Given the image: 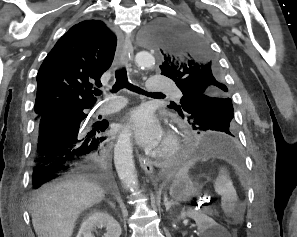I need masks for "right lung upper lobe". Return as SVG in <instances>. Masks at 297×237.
<instances>
[{"label": "right lung upper lobe", "instance_id": "cb5924a9", "mask_svg": "<svg viewBox=\"0 0 297 237\" xmlns=\"http://www.w3.org/2000/svg\"><path fill=\"white\" fill-rule=\"evenodd\" d=\"M116 37L99 20L69 29L43 61L37 74L36 118L52 110H78L96 102L93 84L111 65Z\"/></svg>", "mask_w": 297, "mask_h": 237}]
</instances>
